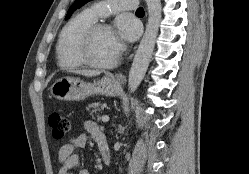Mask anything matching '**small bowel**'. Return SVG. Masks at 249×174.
<instances>
[{
    "mask_svg": "<svg viewBox=\"0 0 249 174\" xmlns=\"http://www.w3.org/2000/svg\"><path fill=\"white\" fill-rule=\"evenodd\" d=\"M83 127L84 131L81 134L70 139L60 147L58 160L61 167L58 174H72L74 170L77 174H90L87 169L80 167V157L76 150L85 147L89 139H92L98 148L100 143L107 145L105 135L95 122L85 121Z\"/></svg>",
    "mask_w": 249,
    "mask_h": 174,
    "instance_id": "obj_1",
    "label": "small bowel"
}]
</instances>
